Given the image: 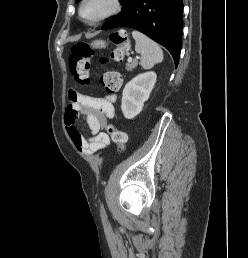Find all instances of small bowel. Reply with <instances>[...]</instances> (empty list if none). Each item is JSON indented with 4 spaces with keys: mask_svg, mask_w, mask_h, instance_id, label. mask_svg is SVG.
<instances>
[{
    "mask_svg": "<svg viewBox=\"0 0 248 258\" xmlns=\"http://www.w3.org/2000/svg\"><path fill=\"white\" fill-rule=\"evenodd\" d=\"M113 73L122 81L117 72ZM69 100L65 124L76 150L86 157L103 150L110 142L105 127L107 120L112 119L115 114L113 105L115 96L97 98L70 91ZM79 115L82 116L83 122L87 126L89 134L87 138L77 124Z\"/></svg>",
    "mask_w": 248,
    "mask_h": 258,
    "instance_id": "obj_1",
    "label": "small bowel"
}]
</instances>
